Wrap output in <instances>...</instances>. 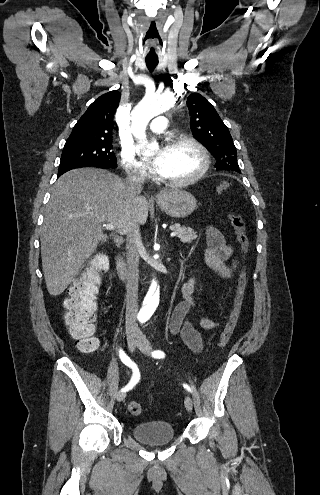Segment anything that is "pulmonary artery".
<instances>
[{"instance_id":"pulmonary-artery-1","label":"pulmonary artery","mask_w":320,"mask_h":495,"mask_svg":"<svg viewBox=\"0 0 320 495\" xmlns=\"http://www.w3.org/2000/svg\"><path fill=\"white\" fill-rule=\"evenodd\" d=\"M167 124L168 119L165 116H158L152 120L149 130L152 133L160 134L166 130Z\"/></svg>"}]
</instances>
